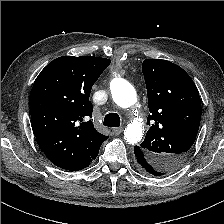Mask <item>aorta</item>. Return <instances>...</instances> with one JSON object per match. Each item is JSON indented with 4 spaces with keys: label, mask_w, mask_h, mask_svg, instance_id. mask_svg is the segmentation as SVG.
<instances>
[{
    "label": "aorta",
    "mask_w": 224,
    "mask_h": 224,
    "mask_svg": "<svg viewBox=\"0 0 224 224\" xmlns=\"http://www.w3.org/2000/svg\"><path fill=\"white\" fill-rule=\"evenodd\" d=\"M110 90L114 102L121 108L131 107L137 101L134 87L122 78H114L110 83ZM143 135L144 128L141 123H130L124 130V139L132 145L139 142Z\"/></svg>",
    "instance_id": "aorta-1"
}]
</instances>
